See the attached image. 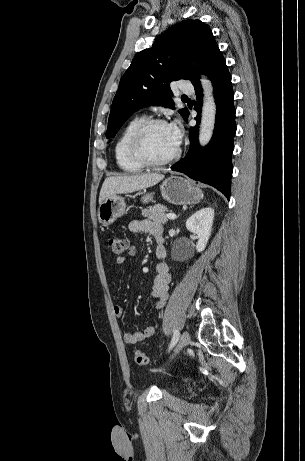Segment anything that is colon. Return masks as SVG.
<instances>
[{"instance_id": "5ec220e1", "label": "colon", "mask_w": 305, "mask_h": 461, "mask_svg": "<svg viewBox=\"0 0 305 461\" xmlns=\"http://www.w3.org/2000/svg\"><path fill=\"white\" fill-rule=\"evenodd\" d=\"M106 247L114 256L120 257L127 249V241L122 238L111 237L106 241ZM133 356L138 365H148L150 363L149 357L140 350H135Z\"/></svg>"}]
</instances>
